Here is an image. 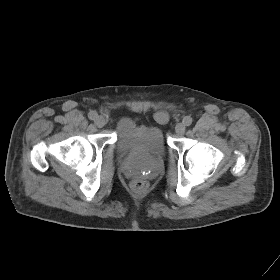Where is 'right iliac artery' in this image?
Instances as JSON below:
<instances>
[{
  "instance_id": "obj_1",
  "label": "right iliac artery",
  "mask_w": 280,
  "mask_h": 280,
  "mask_svg": "<svg viewBox=\"0 0 280 280\" xmlns=\"http://www.w3.org/2000/svg\"><path fill=\"white\" fill-rule=\"evenodd\" d=\"M88 117L91 120H95L98 117V114L96 111H91V112H89Z\"/></svg>"
}]
</instances>
